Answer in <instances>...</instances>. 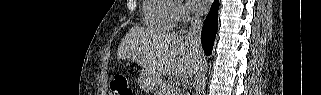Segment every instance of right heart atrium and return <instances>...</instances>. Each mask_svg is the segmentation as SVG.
I'll return each mask as SVG.
<instances>
[{"label": "right heart atrium", "mask_w": 321, "mask_h": 95, "mask_svg": "<svg viewBox=\"0 0 321 95\" xmlns=\"http://www.w3.org/2000/svg\"><path fill=\"white\" fill-rule=\"evenodd\" d=\"M174 2V14L178 21H189L192 19L191 11L179 1Z\"/></svg>", "instance_id": "1"}]
</instances>
